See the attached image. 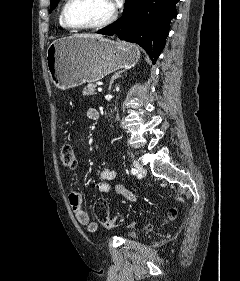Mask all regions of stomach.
<instances>
[{
	"label": "stomach",
	"instance_id": "1",
	"mask_svg": "<svg viewBox=\"0 0 240 281\" xmlns=\"http://www.w3.org/2000/svg\"><path fill=\"white\" fill-rule=\"evenodd\" d=\"M139 58L136 45L75 35L53 41L46 52L49 76L60 89L95 82L115 70L133 67Z\"/></svg>",
	"mask_w": 240,
	"mask_h": 281
}]
</instances>
